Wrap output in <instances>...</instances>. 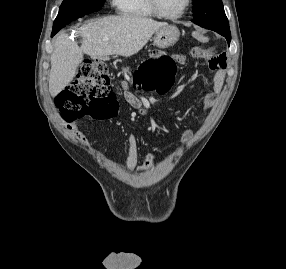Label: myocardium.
<instances>
[{"label":"myocardium","mask_w":286,"mask_h":269,"mask_svg":"<svg viewBox=\"0 0 286 269\" xmlns=\"http://www.w3.org/2000/svg\"><path fill=\"white\" fill-rule=\"evenodd\" d=\"M149 5L151 7V9L153 10V12L161 18L164 19H169V20H174V19H178L181 18L183 15H185V13L187 12V10L189 9L190 5H191V0H186L184 7L182 8V10L177 13V14H167L165 13L160 5H159V1L158 0H148Z\"/></svg>","instance_id":"f54148a6"}]
</instances>
